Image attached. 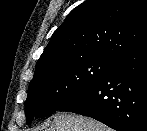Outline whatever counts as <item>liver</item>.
Segmentation results:
<instances>
[{"label": "liver", "mask_w": 147, "mask_h": 131, "mask_svg": "<svg viewBox=\"0 0 147 131\" xmlns=\"http://www.w3.org/2000/svg\"><path fill=\"white\" fill-rule=\"evenodd\" d=\"M53 118L46 131H111L101 122L81 115L59 112Z\"/></svg>", "instance_id": "6515ba94"}]
</instances>
